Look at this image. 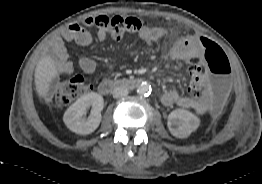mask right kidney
Returning <instances> with one entry per match:
<instances>
[{"instance_id":"ca27d5eb","label":"right kidney","mask_w":262,"mask_h":184,"mask_svg":"<svg viewBox=\"0 0 262 184\" xmlns=\"http://www.w3.org/2000/svg\"><path fill=\"white\" fill-rule=\"evenodd\" d=\"M92 106L90 116L85 119L87 108ZM104 107L103 97L95 92L81 96L64 113L63 121L73 132L87 135L94 132L101 122V111Z\"/></svg>"}]
</instances>
